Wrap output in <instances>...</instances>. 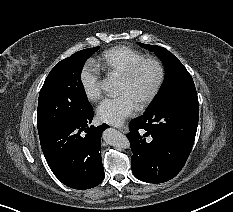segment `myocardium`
Instances as JSON below:
<instances>
[{
    "mask_svg": "<svg viewBox=\"0 0 233 212\" xmlns=\"http://www.w3.org/2000/svg\"><path fill=\"white\" fill-rule=\"evenodd\" d=\"M147 63H153L157 67L158 75L152 90L138 105L139 108H145L149 104H151L158 95L164 83L166 71L162 61L153 56L144 57L138 60L137 62H135L133 65H131L129 69L124 74L121 75L122 80H124L125 82H131L134 80L139 70Z\"/></svg>",
    "mask_w": 233,
    "mask_h": 212,
    "instance_id": "myocardium-1",
    "label": "myocardium"
}]
</instances>
